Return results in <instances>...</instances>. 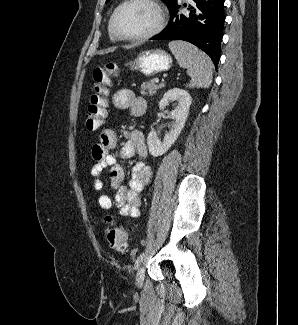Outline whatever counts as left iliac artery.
I'll list each match as a JSON object with an SVG mask.
<instances>
[{"instance_id": "obj_1", "label": "left iliac artery", "mask_w": 298, "mask_h": 325, "mask_svg": "<svg viewBox=\"0 0 298 325\" xmlns=\"http://www.w3.org/2000/svg\"><path fill=\"white\" fill-rule=\"evenodd\" d=\"M143 257H144V253H142V254H140V256H138V258L136 259L135 264H134V269H138V267L140 266V264L143 260Z\"/></svg>"}]
</instances>
